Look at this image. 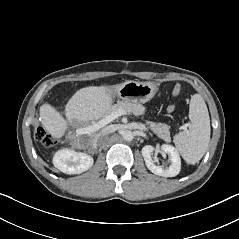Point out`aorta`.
<instances>
[{
  "label": "aorta",
  "instance_id": "1",
  "mask_svg": "<svg viewBox=\"0 0 239 239\" xmlns=\"http://www.w3.org/2000/svg\"><path fill=\"white\" fill-rule=\"evenodd\" d=\"M122 137L125 141H132L134 138L133 132L126 130L122 133Z\"/></svg>",
  "mask_w": 239,
  "mask_h": 239
}]
</instances>
